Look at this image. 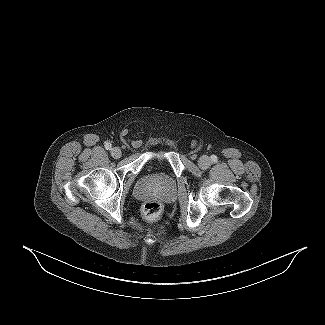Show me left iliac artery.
<instances>
[{"mask_svg": "<svg viewBox=\"0 0 325 325\" xmlns=\"http://www.w3.org/2000/svg\"><path fill=\"white\" fill-rule=\"evenodd\" d=\"M211 159H212L213 162H216V161H217V156L212 155V156H211Z\"/></svg>", "mask_w": 325, "mask_h": 325, "instance_id": "obj_1", "label": "left iliac artery"}]
</instances>
